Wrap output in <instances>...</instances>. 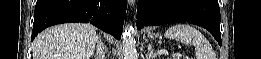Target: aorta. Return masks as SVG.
<instances>
[{"instance_id":"1","label":"aorta","mask_w":261,"mask_h":59,"mask_svg":"<svg viewBox=\"0 0 261 59\" xmlns=\"http://www.w3.org/2000/svg\"><path fill=\"white\" fill-rule=\"evenodd\" d=\"M134 28L127 25L122 34V52L124 59H137L136 41L133 37Z\"/></svg>"}]
</instances>
